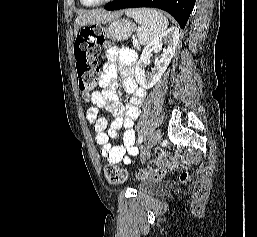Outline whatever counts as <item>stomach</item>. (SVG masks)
Wrapping results in <instances>:
<instances>
[{
	"instance_id": "1",
	"label": "stomach",
	"mask_w": 257,
	"mask_h": 237,
	"mask_svg": "<svg viewBox=\"0 0 257 237\" xmlns=\"http://www.w3.org/2000/svg\"><path fill=\"white\" fill-rule=\"evenodd\" d=\"M133 31L134 24L130 20L114 19L104 29V34L113 41H125L131 37Z\"/></svg>"
}]
</instances>
